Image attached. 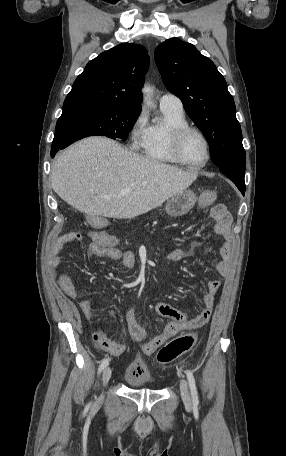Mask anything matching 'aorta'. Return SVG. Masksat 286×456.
<instances>
[{"label": "aorta", "instance_id": "aorta-1", "mask_svg": "<svg viewBox=\"0 0 286 456\" xmlns=\"http://www.w3.org/2000/svg\"><path fill=\"white\" fill-rule=\"evenodd\" d=\"M152 91H153V89H152V87H150L149 85H145L144 88L142 89V92H143V94L146 96V99H147V103H148V104H150L149 99H150V96H151V94H152Z\"/></svg>", "mask_w": 286, "mask_h": 456}]
</instances>
